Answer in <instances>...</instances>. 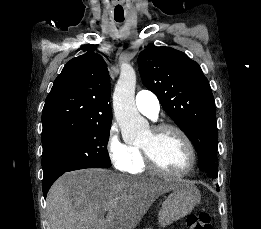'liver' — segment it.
<instances>
[{
	"label": "liver",
	"mask_w": 261,
	"mask_h": 229,
	"mask_svg": "<svg viewBox=\"0 0 261 229\" xmlns=\"http://www.w3.org/2000/svg\"><path fill=\"white\" fill-rule=\"evenodd\" d=\"M171 181L82 169L62 175L46 199L50 229H135ZM106 211H109L106 219Z\"/></svg>",
	"instance_id": "6515ba94"
}]
</instances>
